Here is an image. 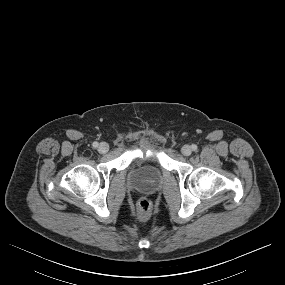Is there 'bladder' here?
I'll return each mask as SVG.
<instances>
[{
    "instance_id": "31cf9c89",
    "label": "bladder",
    "mask_w": 285,
    "mask_h": 285,
    "mask_svg": "<svg viewBox=\"0 0 285 285\" xmlns=\"http://www.w3.org/2000/svg\"><path fill=\"white\" fill-rule=\"evenodd\" d=\"M128 179L132 186L150 191L160 185L162 174L161 170L154 165H142L130 170Z\"/></svg>"
}]
</instances>
